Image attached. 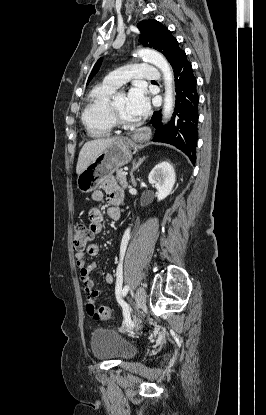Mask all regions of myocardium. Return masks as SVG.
<instances>
[{"instance_id": "f54148a6", "label": "myocardium", "mask_w": 266, "mask_h": 415, "mask_svg": "<svg viewBox=\"0 0 266 415\" xmlns=\"http://www.w3.org/2000/svg\"><path fill=\"white\" fill-rule=\"evenodd\" d=\"M115 97L110 99V103H109L111 117H112V120L115 126L125 128V129L134 128L138 126L140 124V120L127 121L119 114V112L117 111L115 107Z\"/></svg>"}]
</instances>
